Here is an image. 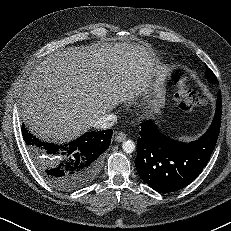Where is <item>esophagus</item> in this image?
Here are the masks:
<instances>
[{"mask_svg":"<svg viewBox=\"0 0 231 231\" xmlns=\"http://www.w3.org/2000/svg\"><path fill=\"white\" fill-rule=\"evenodd\" d=\"M127 138L126 134L123 132H118L115 135V141L116 142H123Z\"/></svg>","mask_w":231,"mask_h":231,"instance_id":"34e87169","label":"esophagus"}]
</instances>
